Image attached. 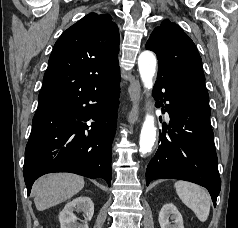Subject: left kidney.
I'll return each instance as SVG.
<instances>
[{
  "label": "left kidney",
  "instance_id": "left-kidney-1",
  "mask_svg": "<svg viewBox=\"0 0 238 228\" xmlns=\"http://www.w3.org/2000/svg\"><path fill=\"white\" fill-rule=\"evenodd\" d=\"M158 221L161 228H184L182 215L173 203L163 205Z\"/></svg>",
  "mask_w": 238,
  "mask_h": 228
}]
</instances>
